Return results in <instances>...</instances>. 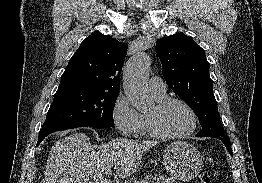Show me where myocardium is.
<instances>
[{
	"mask_svg": "<svg viewBox=\"0 0 262 183\" xmlns=\"http://www.w3.org/2000/svg\"><path fill=\"white\" fill-rule=\"evenodd\" d=\"M174 103L181 104L182 106H184L190 112L192 116V121H193L191 128L187 130L186 132H183L180 134H168L164 132L161 129L159 125V121H158L159 115L164 110H166L170 105ZM147 120H148V126H149L150 133L154 137L159 138V139H164V140L186 138L190 136L191 134H193L198 127V116H197L195 109L187 101L181 98H176V97H166L158 101V103L155 106V112L153 114H148Z\"/></svg>",
	"mask_w": 262,
	"mask_h": 183,
	"instance_id": "myocardium-1",
	"label": "myocardium"
}]
</instances>
